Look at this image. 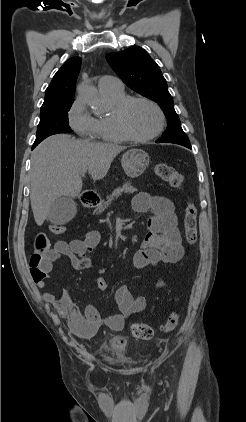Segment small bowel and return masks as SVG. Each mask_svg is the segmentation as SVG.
<instances>
[{
    "mask_svg": "<svg viewBox=\"0 0 246 422\" xmlns=\"http://www.w3.org/2000/svg\"><path fill=\"white\" fill-rule=\"evenodd\" d=\"M133 208L138 214L147 215L146 234L140 248L131 256L133 266L142 269L147 266L155 267L161 263L179 262L184 256V247L173 202L167 197L139 193L134 199ZM100 239L98 231L90 230L84 239L56 241L47 254L46 275L43 279L34 280L36 286L41 290L46 288V278L52 269V264L62 257L68 258L75 270L90 268L93 261L89 253L99 244ZM165 286L166 281L160 278L156 287L160 289ZM96 287L101 292H106L107 283L103 278H98ZM42 297L53 305L62 317L68 318L71 331L82 337L92 336L103 325L120 331L124 328L128 317L146 307V298L134 296L126 286H121L114 292V300L120 313L107 316H102L93 305L85 306L81 312L66 291L62 292L59 298L50 291H43Z\"/></svg>",
    "mask_w": 246,
    "mask_h": 422,
    "instance_id": "obj_1",
    "label": "small bowel"
}]
</instances>
